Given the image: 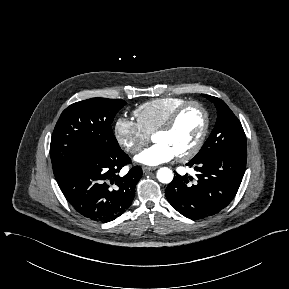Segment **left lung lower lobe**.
<instances>
[{"label": "left lung lower lobe", "instance_id": "1", "mask_svg": "<svg viewBox=\"0 0 289 289\" xmlns=\"http://www.w3.org/2000/svg\"><path fill=\"white\" fill-rule=\"evenodd\" d=\"M188 166L198 171L191 176L176 173L165 195L174 209L189 219H202L224 209L235 197L246 168V152H224Z\"/></svg>", "mask_w": 289, "mask_h": 289}]
</instances>
